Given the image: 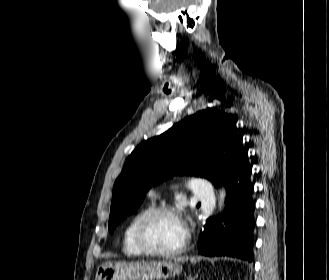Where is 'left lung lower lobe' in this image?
Masks as SVG:
<instances>
[{
  "label": "left lung lower lobe",
  "mask_w": 329,
  "mask_h": 280,
  "mask_svg": "<svg viewBox=\"0 0 329 280\" xmlns=\"http://www.w3.org/2000/svg\"><path fill=\"white\" fill-rule=\"evenodd\" d=\"M242 151L240 167L225 182L227 199L224 213L215 219L209 218L199 237L198 251L202 255L238 257L249 262L253 260L255 205L251 198L252 169L247 152L245 149Z\"/></svg>",
  "instance_id": "0a47b994"
}]
</instances>
